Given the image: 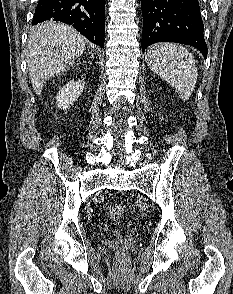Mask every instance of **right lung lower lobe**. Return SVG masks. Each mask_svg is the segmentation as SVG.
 I'll list each match as a JSON object with an SVG mask.
<instances>
[{"label":"right lung lower lobe","mask_w":233,"mask_h":294,"mask_svg":"<svg viewBox=\"0 0 233 294\" xmlns=\"http://www.w3.org/2000/svg\"><path fill=\"white\" fill-rule=\"evenodd\" d=\"M49 19L72 25L91 42L104 47L105 0H40L32 25Z\"/></svg>","instance_id":"1"}]
</instances>
